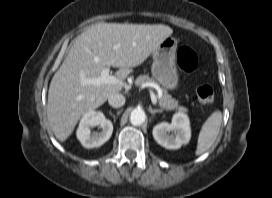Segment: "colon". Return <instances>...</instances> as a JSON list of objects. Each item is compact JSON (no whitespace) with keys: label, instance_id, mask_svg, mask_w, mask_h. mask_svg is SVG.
Listing matches in <instances>:
<instances>
[{"label":"colon","instance_id":"colon-1","mask_svg":"<svg viewBox=\"0 0 272 198\" xmlns=\"http://www.w3.org/2000/svg\"><path fill=\"white\" fill-rule=\"evenodd\" d=\"M177 61L180 68L192 73L198 67V58L196 53L188 46H181L177 52ZM197 98L202 104H213L215 101V90L210 85H203L197 89Z\"/></svg>","mask_w":272,"mask_h":198}]
</instances>
